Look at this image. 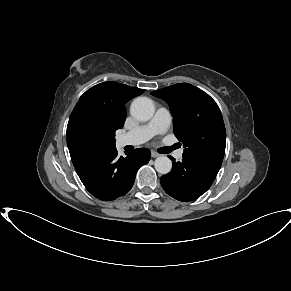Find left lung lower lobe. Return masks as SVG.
Segmentation results:
<instances>
[{
  "mask_svg": "<svg viewBox=\"0 0 291 291\" xmlns=\"http://www.w3.org/2000/svg\"><path fill=\"white\" fill-rule=\"evenodd\" d=\"M172 159V170L161 177L165 192L179 201H192L204 194L215 180L219 169L203 166L183 158L181 162Z\"/></svg>",
  "mask_w": 291,
  "mask_h": 291,
  "instance_id": "obj_1",
  "label": "left lung lower lobe"
}]
</instances>
